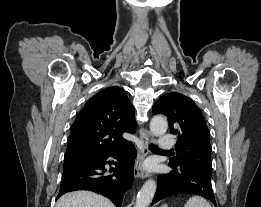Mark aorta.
<instances>
[{
  "label": "aorta",
  "instance_id": "obj_1",
  "mask_svg": "<svg viewBox=\"0 0 261 207\" xmlns=\"http://www.w3.org/2000/svg\"><path fill=\"white\" fill-rule=\"evenodd\" d=\"M168 128L167 120L162 116H154L150 122V131L155 136L166 133ZM157 184L154 180H148L139 191L135 207H148L156 192Z\"/></svg>",
  "mask_w": 261,
  "mask_h": 207
}]
</instances>
